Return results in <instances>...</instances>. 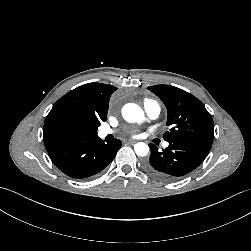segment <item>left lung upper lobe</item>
<instances>
[{"mask_svg": "<svg viewBox=\"0 0 251 251\" xmlns=\"http://www.w3.org/2000/svg\"><path fill=\"white\" fill-rule=\"evenodd\" d=\"M167 108V126L163 138L168 142H186L211 149L214 125L203 103L192 94L169 85L148 87Z\"/></svg>", "mask_w": 251, "mask_h": 251, "instance_id": "obj_1", "label": "left lung upper lobe"}]
</instances>
